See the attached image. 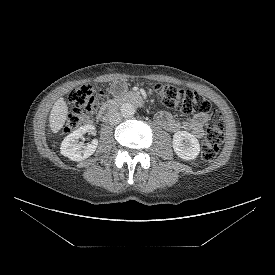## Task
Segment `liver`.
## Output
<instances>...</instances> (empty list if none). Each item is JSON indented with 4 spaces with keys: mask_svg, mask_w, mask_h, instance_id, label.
<instances>
[{
    "mask_svg": "<svg viewBox=\"0 0 275 275\" xmlns=\"http://www.w3.org/2000/svg\"><path fill=\"white\" fill-rule=\"evenodd\" d=\"M68 115V107L64 98H59L53 105L49 116L50 128L57 133L65 124Z\"/></svg>",
    "mask_w": 275,
    "mask_h": 275,
    "instance_id": "6515ba94",
    "label": "liver"
}]
</instances>
